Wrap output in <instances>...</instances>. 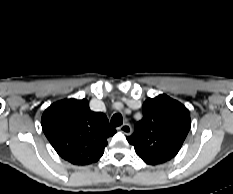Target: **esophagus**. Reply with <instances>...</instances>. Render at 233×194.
Instances as JSON below:
<instances>
[{
  "label": "esophagus",
  "mask_w": 233,
  "mask_h": 194,
  "mask_svg": "<svg viewBox=\"0 0 233 194\" xmlns=\"http://www.w3.org/2000/svg\"><path fill=\"white\" fill-rule=\"evenodd\" d=\"M118 129L126 135H131L132 133V127L128 123L122 124Z\"/></svg>",
  "instance_id": "esophagus-1"
}]
</instances>
